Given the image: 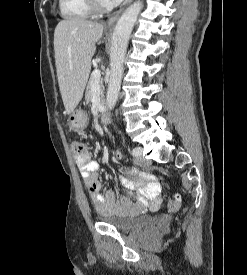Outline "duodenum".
<instances>
[{
	"label": "duodenum",
	"instance_id": "1",
	"mask_svg": "<svg viewBox=\"0 0 247 275\" xmlns=\"http://www.w3.org/2000/svg\"><path fill=\"white\" fill-rule=\"evenodd\" d=\"M99 121L102 125H106L110 122V115L107 110H103L100 112Z\"/></svg>",
	"mask_w": 247,
	"mask_h": 275
}]
</instances>
